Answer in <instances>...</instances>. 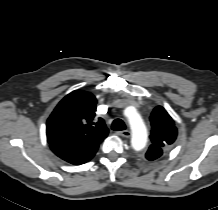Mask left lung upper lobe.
Segmentation results:
<instances>
[{"instance_id":"1","label":"left lung upper lobe","mask_w":218,"mask_h":210,"mask_svg":"<svg viewBox=\"0 0 218 210\" xmlns=\"http://www.w3.org/2000/svg\"><path fill=\"white\" fill-rule=\"evenodd\" d=\"M151 121V142L146 158L155 160L162 155L163 149L171 145L177 136V129L174 121L167 111L157 106L150 116Z\"/></svg>"}]
</instances>
